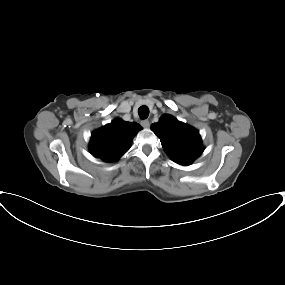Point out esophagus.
<instances>
[{
    "instance_id": "1",
    "label": "esophagus",
    "mask_w": 285,
    "mask_h": 285,
    "mask_svg": "<svg viewBox=\"0 0 285 285\" xmlns=\"http://www.w3.org/2000/svg\"><path fill=\"white\" fill-rule=\"evenodd\" d=\"M141 125L144 127V128H148L150 126V123L148 120H143L141 121Z\"/></svg>"
}]
</instances>
